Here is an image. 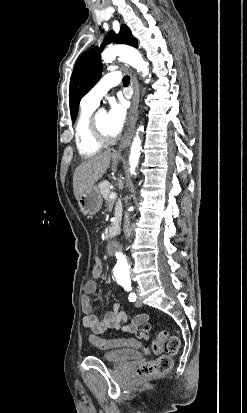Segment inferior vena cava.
<instances>
[{
  "instance_id": "1",
  "label": "inferior vena cava",
  "mask_w": 247,
  "mask_h": 413,
  "mask_svg": "<svg viewBox=\"0 0 247 413\" xmlns=\"http://www.w3.org/2000/svg\"><path fill=\"white\" fill-rule=\"evenodd\" d=\"M126 198H127V196H126ZM124 219H125V223H124V225H123V231H124V233H125V237H130L131 231H130V229H129V223H130V221H129V213H125Z\"/></svg>"
}]
</instances>
